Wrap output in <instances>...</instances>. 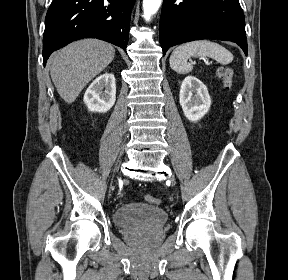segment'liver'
I'll return each instance as SVG.
<instances>
[{"label": "liver", "mask_w": 288, "mask_h": 280, "mask_svg": "<svg viewBox=\"0 0 288 280\" xmlns=\"http://www.w3.org/2000/svg\"><path fill=\"white\" fill-rule=\"evenodd\" d=\"M114 47L97 39L75 41L54 57L50 74L58 94L73 103L83 88L114 59Z\"/></svg>", "instance_id": "liver-1"}]
</instances>
